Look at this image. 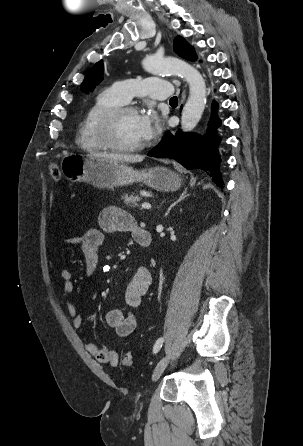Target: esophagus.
I'll return each instance as SVG.
<instances>
[{"label": "esophagus", "instance_id": "esophagus-1", "mask_svg": "<svg viewBox=\"0 0 303 446\" xmlns=\"http://www.w3.org/2000/svg\"><path fill=\"white\" fill-rule=\"evenodd\" d=\"M185 97H186V91H185V89H184V90H183V93H182V100H184Z\"/></svg>", "mask_w": 303, "mask_h": 446}]
</instances>
